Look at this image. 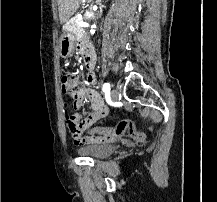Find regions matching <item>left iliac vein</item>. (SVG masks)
<instances>
[{
  "label": "left iliac vein",
  "mask_w": 217,
  "mask_h": 202,
  "mask_svg": "<svg viewBox=\"0 0 217 202\" xmlns=\"http://www.w3.org/2000/svg\"><path fill=\"white\" fill-rule=\"evenodd\" d=\"M110 96H111V100L113 102H116L118 100V96H119L118 90L112 89L110 92Z\"/></svg>",
  "instance_id": "obj_1"
}]
</instances>
